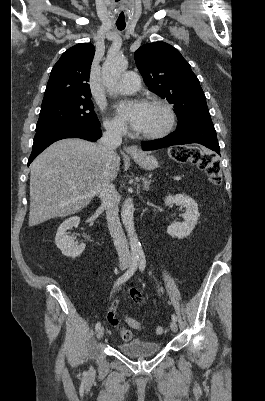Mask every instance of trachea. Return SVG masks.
Listing matches in <instances>:
<instances>
[{
	"instance_id": "trachea-1",
	"label": "trachea",
	"mask_w": 265,
	"mask_h": 401,
	"mask_svg": "<svg viewBox=\"0 0 265 401\" xmlns=\"http://www.w3.org/2000/svg\"><path fill=\"white\" fill-rule=\"evenodd\" d=\"M116 26L118 28V30H124V28L126 27L125 23H116Z\"/></svg>"
}]
</instances>
